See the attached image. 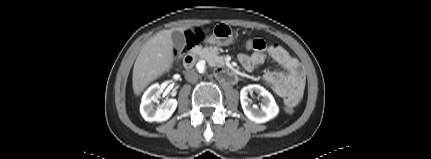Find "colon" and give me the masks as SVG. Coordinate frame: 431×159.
<instances>
[{"mask_svg": "<svg viewBox=\"0 0 431 159\" xmlns=\"http://www.w3.org/2000/svg\"><path fill=\"white\" fill-rule=\"evenodd\" d=\"M201 38V35L198 32L191 33L187 37V42L189 45H193L197 43ZM255 44V41L253 39H247L246 43L244 44V50L250 51L253 48V45ZM285 110L287 113H292L294 111V108H290L288 106H285Z\"/></svg>", "mask_w": 431, "mask_h": 159, "instance_id": "1", "label": "colon"}]
</instances>
